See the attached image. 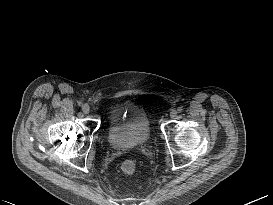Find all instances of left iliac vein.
Wrapping results in <instances>:
<instances>
[{
    "mask_svg": "<svg viewBox=\"0 0 273 205\" xmlns=\"http://www.w3.org/2000/svg\"><path fill=\"white\" fill-rule=\"evenodd\" d=\"M170 116H171V118H176L177 117V111L176 110H171Z\"/></svg>",
    "mask_w": 273,
    "mask_h": 205,
    "instance_id": "obj_1",
    "label": "left iliac vein"
}]
</instances>
